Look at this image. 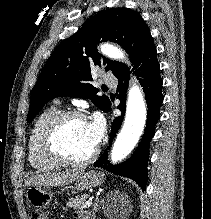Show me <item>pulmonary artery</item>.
I'll use <instances>...</instances> for the list:
<instances>
[{"mask_svg": "<svg viewBox=\"0 0 211 219\" xmlns=\"http://www.w3.org/2000/svg\"><path fill=\"white\" fill-rule=\"evenodd\" d=\"M103 80H104V83H106L107 85H110V86L116 85V79L112 76H105Z\"/></svg>", "mask_w": 211, "mask_h": 219, "instance_id": "pulmonary-artery-1", "label": "pulmonary artery"}]
</instances>
